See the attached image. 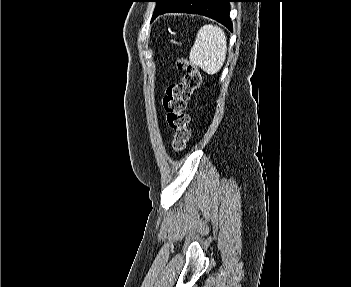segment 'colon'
Here are the masks:
<instances>
[{"label":"colon","mask_w":351,"mask_h":287,"mask_svg":"<svg viewBox=\"0 0 351 287\" xmlns=\"http://www.w3.org/2000/svg\"><path fill=\"white\" fill-rule=\"evenodd\" d=\"M177 67L184 72L183 77L167 88L163 106L167 113V123L173 130L171 148L174 152H182L190 137L187 104L201 85V74L198 67L187 59H178Z\"/></svg>","instance_id":"colon-1"}]
</instances>
